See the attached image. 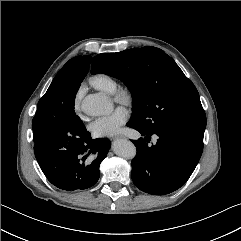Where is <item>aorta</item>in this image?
I'll return each mask as SVG.
<instances>
[{
  "instance_id": "obj_1",
  "label": "aorta",
  "mask_w": 241,
  "mask_h": 241,
  "mask_svg": "<svg viewBox=\"0 0 241 241\" xmlns=\"http://www.w3.org/2000/svg\"><path fill=\"white\" fill-rule=\"evenodd\" d=\"M81 110L90 116H101L111 112L112 104L102 94H89L81 103ZM113 151L116 155L125 159H132L136 156L135 145L126 139H120L113 143Z\"/></svg>"
}]
</instances>
